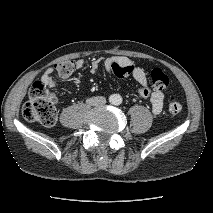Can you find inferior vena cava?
<instances>
[{
    "mask_svg": "<svg viewBox=\"0 0 213 213\" xmlns=\"http://www.w3.org/2000/svg\"><path fill=\"white\" fill-rule=\"evenodd\" d=\"M87 103L92 106H101L106 103V98L103 96H97L87 99Z\"/></svg>",
    "mask_w": 213,
    "mask_h": 213,
    "instance_id": "1",
    "label": "inferior vena cava"
}]
</instances>
